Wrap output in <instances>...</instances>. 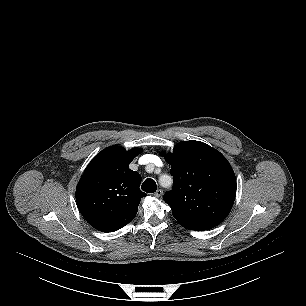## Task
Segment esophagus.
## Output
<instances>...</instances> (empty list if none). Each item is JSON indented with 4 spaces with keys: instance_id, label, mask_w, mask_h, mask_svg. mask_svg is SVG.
<instances>
[{
    "instance_id": "obj_1",
    "label": "esophagus",
    "mask_w": 306,
    "mask_h": 306,
    "mask_svg": "<svg viewBox=\"0 0 306 306\" xmlns=\"http://www.w3.org/2000/svg\"><path fill=\"white\" fill-rule=\"evenodd\" d=\"M162 194H163V190L158 189V190L154 193V196L157 197V198H159V197L162 196Z\"/></svg>"
}]
</instances>
